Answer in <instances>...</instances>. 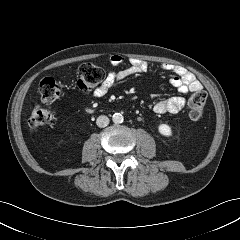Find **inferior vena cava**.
<instances>
[{
    "label": "inferior vena cava",
    "instance_id": "inferior-vena-cava-1",
    "mask_svg": "<svg viewBox=\"0 0 240 240\" xmlns=\"http://www.w3.org/2000/svg\"><path fill=\"white\" fill-rule=\"evenodd\" d=\"M96 124L98 127L104 128L109 124V118L105 115H101L97 118Z\"/></svg>",
    "mask_w": 240,
    "mask_h": 240
}]
</instances>
